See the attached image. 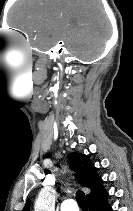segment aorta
Masks as SVG:
<instances>
[{"label":"aorta","mask_w":133,"mask_h":211,"mask_svg":"<svg viewBox=\"0 0 133 211\" xmlns=\"http://www.w3.org/2000/svg\"><path fill=\"white\" fill-rule=\"evenodd\" d=\"M55 195L53 189L44 187L35 201V211H54Z\"/></svg>","instance_id":"1"}]
</instances>
